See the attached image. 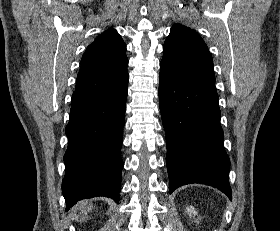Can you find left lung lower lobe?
Instances as JSON below:
<instances>
[{"label": "left lung lower lobe", "mask_w": 280, "mask_h": 231, "mask_svg": "<svg viewBox=\"0 0 280 231\" xmlns=\"http://www.w3.org/2000/svg\"><path fill=\"white\" fill-rule=\"evenodd\" d=\"M159 100L166 132L169 192L200 183L219 189L231 200L230 160L223 146L215 82L179 80L161 70Z\"/></svg>", "instance_id": "0a47b994"}]
</instances>
